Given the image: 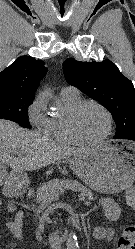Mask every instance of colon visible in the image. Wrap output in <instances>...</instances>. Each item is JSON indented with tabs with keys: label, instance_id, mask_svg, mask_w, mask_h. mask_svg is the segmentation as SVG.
I'll return each instance as SVG.
<instances>
[{
	"label": "colon",
	"instance_id": "5ec220e1",
	"mask_svg": "<svg viewBox=\"0 0 135 249\" xmlns=\"http://www.w3.org/2000/svg\"><path fill=\"white\" fill-rule=\"evenodd\" d=\"M125 198L127 204L135 211V186L127 189ZM117 249H135V224L124 228L118 239Z\"/></svg>",
	"mask_w": 135,
	"mask_h": 249
}]
</instances>
